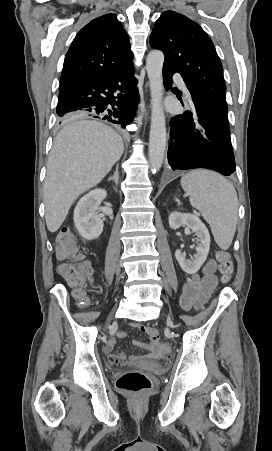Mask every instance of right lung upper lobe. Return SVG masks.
Instances as JSON below:
<instances>
[{
    "label": "right lung upper lobe",
    "mask_w": 272,
    "mask_h": 451,
    "mask_svg": "<svg viewBox=\"0 0 272 451\" xmlns=\"http://www.w3.org/2000/svg\"><path fill=\"white\" fill-rule=\"evenodd\" d=\"M129 37L116 14H105L83 27L64 61L60 88L106 76L132 62Z\"/></svg>",
    "instance_id": "right-lung-upper-lobe-1"
}]
</instances>
